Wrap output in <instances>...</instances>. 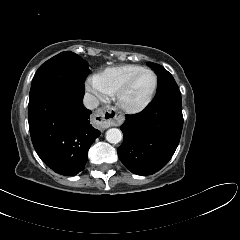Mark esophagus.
I'll use <instances>...</instances> for the list:
<instances>
[{
	"label": "esophagus",
	"instance_id": "1",
	"mask_svg": "<svg viewBox=\"0 0 240 240\" xmlns=\"http://www.w3.org/2000/svg\"><path fill=\"white\" fill-rule=\"evenodd\" d=\"M121 114L114 107H103L98 109L94 115V122L101 128H108L119 120Z\"/></svg>",
	"mask_w": 240,
	"mask_h": 240
}]
</instances>
